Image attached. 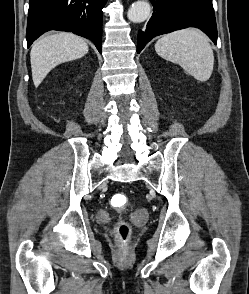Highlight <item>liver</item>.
<instances>
[{"mask_svg": "<svg viewBox=\"0 0 249 294\" xmlns=\"http://www.w3.org/2000/svg\"><path fill=\"white\" fill-rule=\"evenodd\" d=\"M88 53L84 40L72 33L47 35L34 43L30 52L32 79L38 87L57 65L83 57Z\"/></svg>", "mask_w": 249, "mask_h": 294, "instance_id": "6515ba94", "label": "liver"}]
</instances>
